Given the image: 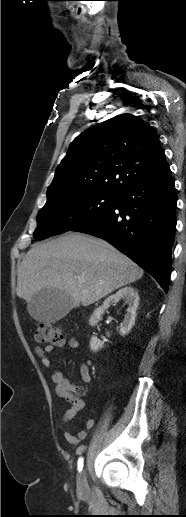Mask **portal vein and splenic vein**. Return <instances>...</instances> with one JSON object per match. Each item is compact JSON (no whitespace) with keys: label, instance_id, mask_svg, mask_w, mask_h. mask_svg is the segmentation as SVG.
I'll return each mask as SVG.
<instances>
[{"label":"portal vein and splenic vein","instance_id":"portal-vein-and-splenic-vein-1","mask_svg":"<svg viewBox=\"0 0 186 517\" xmlns=\"http://www.w3.org/2000/svg\"><path fill=\"white\" fill-rule=\"evenodd\" d=\"M79 281H80V282H83L84 280H83L82 278H79Z\"/></svg>","mask_w":186,"mask_h":517}]
</instances>
